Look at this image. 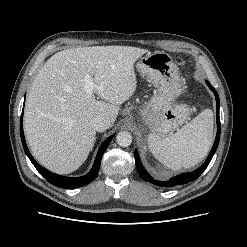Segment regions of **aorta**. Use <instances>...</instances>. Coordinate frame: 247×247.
Wrapping results in <instances>:
<instances>
[{
    "mask_svg": "<svg viewBox=\"0 0 247 247\" xmlns=\"http://www.w3.org/2000/svg\"><path fill=\"white\" fill-rule=\"evenodd\" d=\"M116 142L121 147H128L132 143V135L128 131H120L116 136Z\"/></svg>",
    "mask_w": 247,
    "mask_h": 247,
    "instance_id": "aorta-1",
    "label": "aorta"
}]
</instances>
